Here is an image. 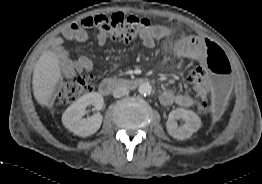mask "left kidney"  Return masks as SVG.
<instances>
[{
  "label": "left kidney",
  "mask_w": 262,
  "mask_h": 184,
  "mask_svg": "<svg viewBox=\"0 0 262 184\" xmlns=\"http://www.w3.org/2000/svg\"><path fill=\"white\" fill-rule=\"evenodd\" d=\"M178 119L184 120L185 124L179 127L176 123ZM166 127L170 136L178 140H185L199 130L201 127V119L191 110L177 108L170 112Z\"/></svg>",
  "instance_id": "1"
}]
</instances>
